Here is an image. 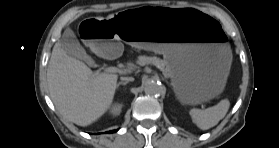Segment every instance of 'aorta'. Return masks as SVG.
<instances>
[{
	"label": "aorta",
	"instance_id": "1",
	"mask_svg": "<svg viewBox=\"0 0 279 148\" xmlns=\"http://www.w3.org/2000/svg\"><path fill=\"white\" fill-rule=\"evenodd\" d=\"M144 92L148 96L157 97L163 94L164 87L156 81H148L145 83Z\"/></svg>",
	"mask_w": 279,
	"mask_h": 148
}]
</instances>
